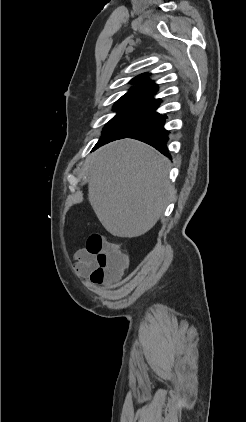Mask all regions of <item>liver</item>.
Returning a JSON list of instances; mask_svg holds the SVG:
<instances>
[{
  "label": "liver",
  "instance_id": "1",
  "mask_svg": "<svg viewBox=\"0 0 246 422\" xmlns=\"http://www.w3.org/2000/svg\"><path fill=\"white\" fill-rule=\"evenodd\" d=\"M168 172L166 157L133 139L96 150L90 162L88 199L103 227L122 238L148 232L173 195Z\"/></svg>",
  "mask_w": 246,
  "mask_h": 422
}]
</instances>
